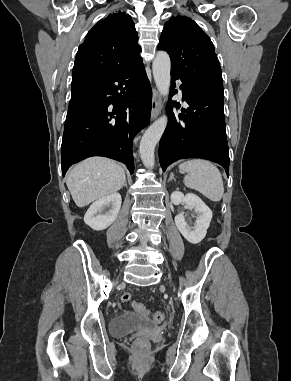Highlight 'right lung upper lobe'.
I'll list each match as a JSON object with an SVG mask.
<instances>
[{
    "label": "right lung upper lobe",
    "mask_w": 291,
    "mask_h": 381,
    "mask_svg": "<svg viewBox=\"0 0 291 381\" xmlns=\"http://www.w3.org/2000/svg\"><path fill=\"white\" fill-rule=\"evenodd\" d=\"M138 33L129 14L100 20L79 46L73 70L114 72L141 59Z\"/></svg>",
    "instance_id": "cb5924a9"
}]
</instances>
